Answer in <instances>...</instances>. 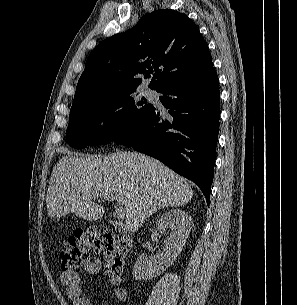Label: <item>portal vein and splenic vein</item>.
<instances>
[{"mask_svg":"<svg viewBox=\"0 0 297 305\" xmlns=\"http://www.w3.org/2000/svg\"><path fill=\"white\" fill-rule=\"evenodd\" d=\"M97 197H99L101 199L108 200V201H113L114 200V197L107 192L106 193H98ZM115 215H116L117 218H123L125 216L124 208L122 206L117 207L115 209Z\"/></svg>","mask_w":297,"mask_h":305,"instance_id":"1","label":"portal vein and splenic vein"}]
</instances>
